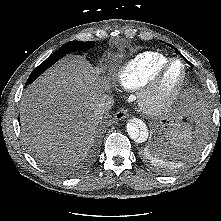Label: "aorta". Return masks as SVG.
I'll return each instance as SVG.
<instances>
[{"label":"aorta","mask_w":221,"mask_h":221,"mask_svg":"<svg viewBox=\"0 0 221 221\" xmlns=\"http://www.w3.org/2000/svg\"><path fill=\"white\" fill-rule=\"evenodd\" d=\"M126 131L132 140L140 142V143L145 142L149 136V131H148L147 126L142 122H140V123H135V122L127 123Z\"/></svg>","instance_id":"1"}]
</instances>
